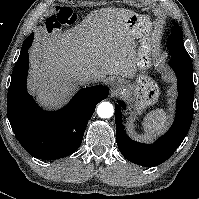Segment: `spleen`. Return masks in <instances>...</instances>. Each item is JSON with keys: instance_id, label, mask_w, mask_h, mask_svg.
I'll return each instance as SVG.
<instances>
[{"instance_id": "obj_1", "label": "spleen", "mask_w": 199, "mask_h": 199, "mask_svg": "<svg viewBox=\"0 0 199 199\" xmlns=\"http://www.w3.org/2000/svg\"><path fill=\"white\" fill-rule=\"evenodd\" d=\"M167 114L164 109H156L147 114L142 123L145 134L151 136L161 132L167 124Z\"/></svg>"}]
</instances>
